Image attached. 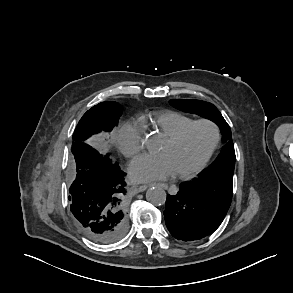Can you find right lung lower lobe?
<instances>
[{"label": "right lung lower lobe", "mask_w": 293, "mask_h": 293, "mask_svg": "<svg viewBox=\"0 0 293 293\" xmlns=\"http://www.w3.org/2000/svg\"><path fill=\"white\" fill-rule=\"evenodd\" d=\"M71 151L75 159L74 181L69 189L71 212L93 241L117 242L128 228L123 209L124 173L108 155H99L86 142L73 143Z\"/></svg>", "instance_id": "right-lung-lower-lobe-1"}]
</instances>
